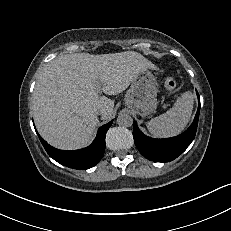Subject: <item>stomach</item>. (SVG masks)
Here are the masks:
<instances>
[{"label":"stomach","mask_w":231,"mask_h":231,"mask_svg":"<svg viewBox=\"0 0 231 231\" xmlns=\"http://www.w3.org/2000/svg\"><path fill=\"white\" fill-rule=\"evenodd\" d=\"M158 83L149 69L134 76L125 95V105L140 116L155 112L158 101Z\"/></svg>","instance_id":"1"}]
</instances>
